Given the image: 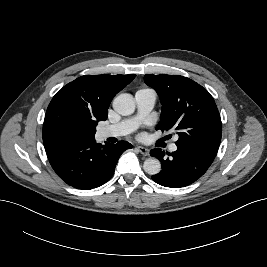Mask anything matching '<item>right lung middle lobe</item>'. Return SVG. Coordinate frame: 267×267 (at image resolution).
<instances>
[{
	"label": "right lung middle lobe",
	"mask_w": 267,
	"mask_h": 267,
	"mask_svg": "<svg viewBox=\"0 0 267 267\" xmlns=\"http://www.w3.org/2000/svg\"><path fill=\"white\" fill-rule=\"evenodd\" d=\"M95 133L92 134V137ZM64 139L67 140H79L85 137L84 131L74 124H70L66 127L63 134Z\"/></svg>",
	"instance_id": "right-lung-middle-lobe-1"
}]
</instances>
